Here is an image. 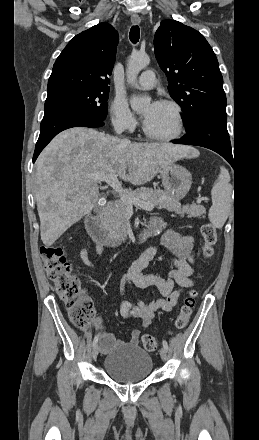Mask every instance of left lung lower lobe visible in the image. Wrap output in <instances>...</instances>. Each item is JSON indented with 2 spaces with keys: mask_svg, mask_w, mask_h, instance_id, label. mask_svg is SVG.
Wrapping results in <instances>:
<instances>
[{
  "mask_svg": "<svg viewBox=\"0 0 259 440\" xmlns=\"http://www.w3.org/2000/svg\"><path fill=\"white\" fill-rule=\"evenodd\" d=\"M187 133L176 144L197 145L211 149L224 157L231 165L233 156L227 131V116L206 114L197 118L186 129Z\"/></svg>",
  "mask_w": 259,
  "mask_h": 440,
  "instance_id": "1",
  "label": "left lung lower lobe"
}]
</instances>
